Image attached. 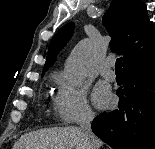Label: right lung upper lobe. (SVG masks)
Instances as JSON below:
<instances>
[{
    "instance_id": "1",
    "label": "right lung upper lobe",
    "mask_w": 155,
    "mask_h": 149,
    "mask_svg": "<svg viewBox=\"0 0 155 149\" xmlns=\"http://www.w3.org/2000/svg\"><path fill=\"white\" fill-rule=\"evenodd\" d=\"M102 23L112 36L111 50L124 56V69L155 59V27L147 16L143 1L113 0ZM74 28L73 22L68 23L54 35L42 74L53 65L58 52L71 38Z\"/></svg>"
}]
</instances>
